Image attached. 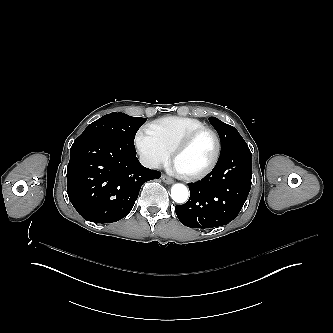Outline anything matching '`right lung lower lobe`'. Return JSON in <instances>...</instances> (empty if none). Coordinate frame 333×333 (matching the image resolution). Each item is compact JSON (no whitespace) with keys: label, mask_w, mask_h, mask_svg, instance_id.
Segmentation results:
<instances>
[{"label":"right lung lower lobe","mask_w":333,"mask_h":333,"mask_svg":"<svg viewBox=\"0 0 333 333\" xmlns=\"http://www.w3.org/2000/svg\"><path fill=\"white\" fill-rule=\"evenodd\" d=\"M70 153L67 194L77 212L94 223L127 216L142 184L161 176L140 164L135 149L106 135L79 136Z\"/></svg>","instance_id":"right-lung-lower-lobe-1"}]
</instances>
